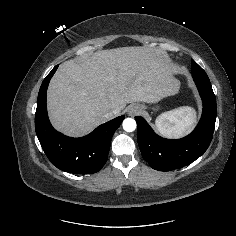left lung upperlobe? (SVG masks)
Instances as JSON below:
<instances>
[{
  "label": "left lung upper lobe",
  "mask_w": 236,
  "mask_h": 236,
  "mask_svg": "<svg viewBox=\"0 0 236 236\" xmlns=\"http://www.w3.org/2000/svg\"><path fill=\"white\" fill-rule=\"evenodd\" d=\"M191 73L192 74H200V75H204L206 74L205 71L194 61L191 60Z\"/></svg>",
  "instance_id": "left-lung-upper-lobe-1"
}]
</instances>
